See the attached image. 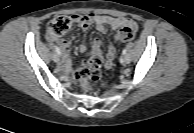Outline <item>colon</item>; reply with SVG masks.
I'll return each mask as SVG.
<instances>
[{"mask_svg":"<svg viewBox=\"0 0 194 133\" xmlns=\"http://www.w3.org/2000/svg\"><path fill=\"white\" fill-rule=\"evenodd\" d=\"M72 19L68 16H59L50 21L48 25V32L54 36L59 37L65 34L71 27ZM135 37V32L131 28H123L117 35L116 39L121 42H127L133 40ZM103 64V56L100 50H94L92 56L87 62L76 69L74 76L86 89L87 80L91 79L93 81L101 82L102 74L101 67Z\"/></svg>","mask_w":194,"mask_h":133,"instance_id":"obj_1","label":"colon"}]
</instances>
